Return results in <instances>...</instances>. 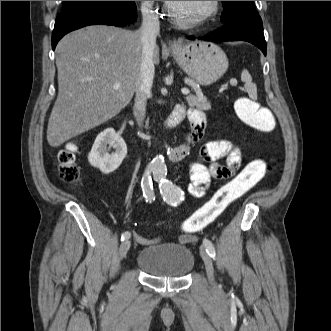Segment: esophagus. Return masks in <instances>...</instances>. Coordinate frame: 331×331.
<instances>
[{
    "label": "esophagus",
    "instance_id": "34e87169",
    "mask_svg": "<svg viewBox=\"0 0 331 331\" xmlns=\"http://www.w3.org/2000/svg\"><path fill=\"white\" fill-rule=\"evenodd\" d=\"M169 44H170L172 47H174V46L176 45V42H172V41H170Z\"/></svg>",
    "mask_w": 331,
    "mask_h": 331
}]
</instances>
